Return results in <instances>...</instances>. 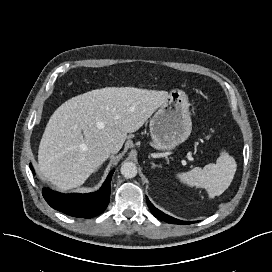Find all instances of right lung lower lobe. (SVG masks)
Returning a JSON list of instances; mask_svg holds the SVG:
<instances>
[{
	"instance_id": "obj_1",
	"label": "right lung lower lobe",
	"mask_w": 272,
	"mask_h": 272,
	"mask_svg": "<svg viewBox=\"0 0 272 272\" xmlns=\"http://www.w3.org/2000/svg\"><path fill=\"white\" fill-rule=\"evenodd\" d=\"M30 168L35 174L32 165ZM112 170L103 186L96 192L88 194H61L48 188L42 190L47 203L54 209L79 218H91L105 211L110 200Z\"/></svg>"
}]
</instances>
